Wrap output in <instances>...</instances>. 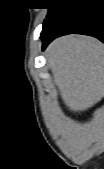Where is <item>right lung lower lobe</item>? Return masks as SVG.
Listing matches in <instances>:
<instances>
[{
  "mask_svg": "<svg viewBox=\"0 0 104 169\" xmlns=\"http://www.w3.org/2000/svg\"><path fill=\"white\" fill-rule=\"evenodd\" d=\"M85 34L104 42L103 0H72L43 27V50L55 38L71 34Z\"/></svg>",
  "mask_w": 104,
  "mask_h": 169,
  "instance_id": "right-lung-lower-lobe-1",
  "label": "right lung lower lobe"
}]
</instances>
